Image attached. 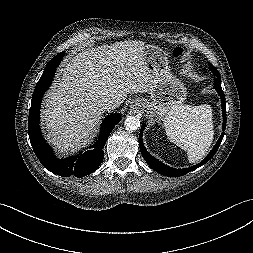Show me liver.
<instances>
[{
  "mask_svg": "<svg viewBox=\"0 0 253 253\" xmlns=\"http://www.w3.org/2000/svg\"><path fill=\"white\" fill-rule=\"evenodd\" d=\"M144 42L129 40L88 48L71 57L46 94L47 138L60 153L80 148L102 117L104 99L120 104L129 93H150L157 75L145 64Z\"/></svg>",
  "mask_w": 253,
  "mask_h": 253,
  "instance_id": "1",
  "label": "liver"
}]
</instances>
